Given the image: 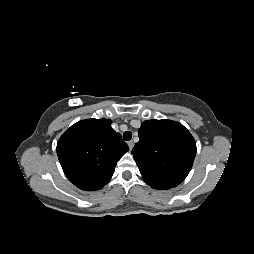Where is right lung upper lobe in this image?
Wrapping results in <instances>:
<instances>
[{
    "instance_id": "obj_1",
    "label": "right lung upper lobe",
    "mask_w": 254,
    "mask_h": 254,
    "mask_svg": "<svg viewBox=\"0 0 254 254\" xmlns=\"http://www.w3.org/2000/svg\"><path fill=\"white\" fill-rule=\"evenodd\" d=\"M110 119H87L72 125L59 139L57 155L67 178L86 191L101 189L117 161L129 150Z\"/></svg>"
}]
</instances>
